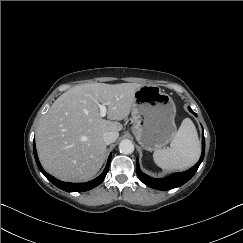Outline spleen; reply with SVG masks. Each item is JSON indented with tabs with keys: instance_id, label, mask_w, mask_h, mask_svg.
Here are the masks:
<instances>
[{
	"instance_id": "3e777b00",
	"label": "spleen",
	"mask_w": 243,
	"mask_h": 243,
	"mask_svg": "<svg viewBox=\"0 0 243 243\" xmlns=\"http://www.w3.org/2000/svg\"><path fill=\"white\" fill-rule=\"evenodd\" d=\"M200 142L195 125L189 118H185L170 147L155 150L154 162L162 169L185 170L193 166L199 159Z\"/></svg>"
}]
</instances>
